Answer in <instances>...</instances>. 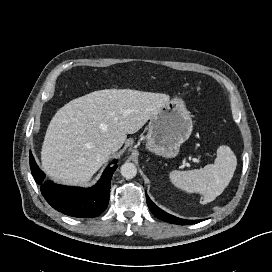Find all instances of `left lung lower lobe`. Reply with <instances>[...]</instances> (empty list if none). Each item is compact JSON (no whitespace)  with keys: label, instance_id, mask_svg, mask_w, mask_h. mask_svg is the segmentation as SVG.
<instances>
[{"label":"left lung lower lobe","instance_id":"0a47b994","mask_svg":"<svg viewBox=\"0 0 272 272\" xmlns=\"http://www.w3.org/2000/svg\"><path fill=\"white\" fill-rule=\"evenodd\" d=\"M146 200H147V204L148 207L150 209V211L159 219L165 221V222H169V223H174V224H179V225H188V224H196L201 222V220H185V219H181L178 217H175L173 215H170L166 212H164L163 210H161L160 208H158L151 200L148 196H146Z\"/></svg>","mask_w":272,"mask_h":272}]
</instances>
